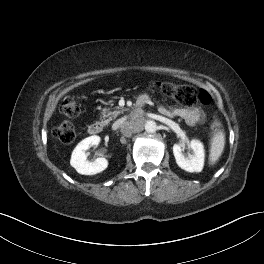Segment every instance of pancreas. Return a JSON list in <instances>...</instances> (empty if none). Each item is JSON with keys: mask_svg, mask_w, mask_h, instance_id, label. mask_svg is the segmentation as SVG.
<instances>
[{"mask_svg": "<svg viewBox=\"0 0 264 264\" xmlns=\"http://www.w3.org/2000/svg\"><path fill=\"white\" fill-rule=\"evenodd\" d=\"M124 109L116 107V110L109 111V109L104 108L102 111V122L108 124L113 118H116L119 114L123 113Z\"/></svg>", "mask_w": 264, "mask_h": 264, "instance_id": "cf45deb5", "label": "pancreas"}]
</instances>
